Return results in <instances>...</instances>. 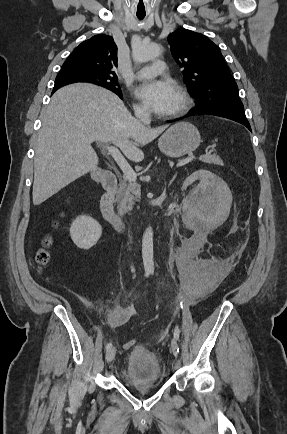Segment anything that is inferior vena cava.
<instances>
[{
	"label": "inferior vena cava",
	"mask_w": 287,
	"mask_h": 434,
	"mask_svg": "<svg viewBox=\"0 0 287 434\" xmlns=\"http://www.w3.org/2000/svg\"><path fill=\"white\" fill-rule=\"evenodd\" d=\"M135 115L140 121H142L145 125H149L151 123L150 114L145 109H136Z\"/></svg>",
	"instance_id": "inferior-vena-cava-1"
}]
</instances>
